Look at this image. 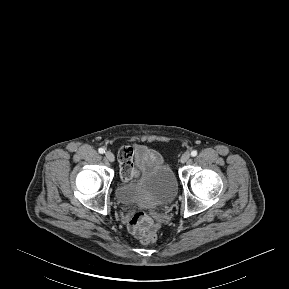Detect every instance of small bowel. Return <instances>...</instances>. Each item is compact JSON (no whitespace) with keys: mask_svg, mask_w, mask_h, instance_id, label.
<instances>
[{"mask_svg":"<svg viewBox=\"0 0 289 289\" xmlns=\"http://www.w3.org/2000/svg\"><path fill=\"white\" fill-rule=\"evenodd\" d=\"M147 156L151 161L162 162L160 154L154 150L146 149ZM135 149L127 146L123 147L119 152V160L121 163L120 178L123 182L138 177V169L134 163ZM127 226L129 232L135 237L141 239L148 231L157 230L159 224L153 223L149 217L141 218L138 214H134L127 219Z\"/></svg>","mask_w":289,"mask_h":289,"instance_id":"obj_1","label":"small bowel"}]
</instances>
